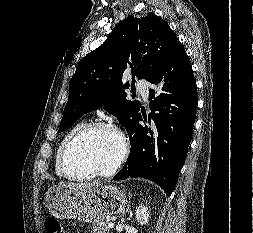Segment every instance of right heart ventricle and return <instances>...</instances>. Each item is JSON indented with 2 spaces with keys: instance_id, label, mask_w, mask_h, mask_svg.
<instances>
[{
  "instance_id": "1",
  "label": "right heart ventricle",
  "mask_w": 253,
  "mask_h": 233,
  "mask_svg": "<svg viewBox=\"0 0 253 233\" xmlns=\"http://www.w3.org/2000/svg\"><path fill=\"white\" fill-rule=\"evenodd\" d=\"M85 121H80L78 123H76L62 138V140L60 141L57 149H56V153H55V160H54V168H55V172L58 176L60 177H65L62 169H61V156H62V152L64 150L65 145L67 144V142L69 141V139L81 128L85 125Z\"/></svg>"
}]
</instances>
